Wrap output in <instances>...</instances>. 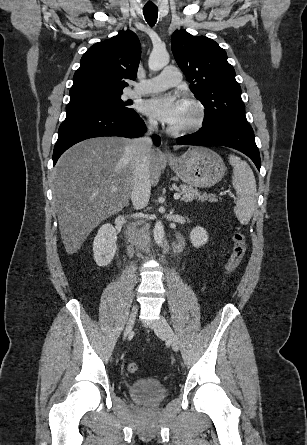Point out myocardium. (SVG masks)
Listing matches in <instances>:
<instances>
[{
    "mask_svg": "<svg viewBox=\"0 0 307 445\" xmlns=\"http://www.w3.org/2000/svg\"><path fill=\"white\" fill-rule=\"evenodd\" d=\"M186 103L193 108L195 117L183 126H170L169 130L171 133L179 135L192 133L199 130L206 123L208 118V111L206 106L197 98H190Z\"/></svg>",
    "mask_w": 307,
    "mask_h": 445,
    "instance_id": "obj_1",
    "label": "myocardium"
}]
</instances>
